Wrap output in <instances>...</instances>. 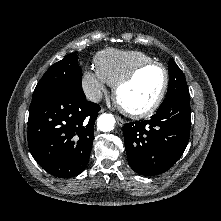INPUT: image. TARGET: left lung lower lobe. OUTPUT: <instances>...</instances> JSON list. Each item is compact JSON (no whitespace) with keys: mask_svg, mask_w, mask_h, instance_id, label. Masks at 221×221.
Here are the masks:
<instances>
[{"mask_svg":"<svg viewBox=\"0 0 221 221\" xmlns=\"http://www.w3.org/2000/svg\"><path fill=\"white\" fill-rule=\"evenodd\" d=\"M189 92L160 105L150 120L123 127L128 163L140 175H158L169 170L183 154L190 135Z\"/></svg>","mask_w":221,"mask_h":221,"instance_id":"1","label":"left lung lower lobe"}]
</instances>
